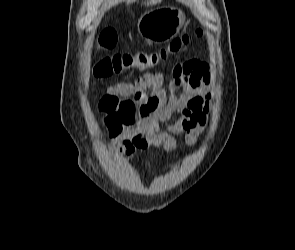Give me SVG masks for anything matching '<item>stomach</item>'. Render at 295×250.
Returning <instances> with one entry per match:
<instances>
[{
	"label": "stomach",
	"mask_w": 295,
	"mask_h": 250,
	"mask_svg": "<svg viewBox=\"0 0 295 250\" xmlns=\"http://www.w3.org/2000/svg\"><path fill=\"white\" fill-rule=\"evenodd\" d=\"M184 22L181 9L163 6L145 13L138 23V31L153 41H167L180 31Z\"/></svg>",
	"instance_id": "0dacf381"
}]
</instances>
